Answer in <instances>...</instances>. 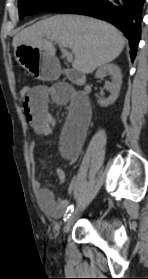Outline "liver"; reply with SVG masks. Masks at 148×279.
I'll return each mask as SVG.
<instances>
[{"label": "liver", "mask_w": 148, "mask_h": 279, "mask_svg": "<svg viewBox=\"0 0 148 279\" xmlns=\"http://www.w3.org/2000/svg\"><path fill=\"white\" fill-rule=\"evenodd\" d=\"M52 41H59L73 52L74 70L92 73L117 58L125 39L113 25L81 15H56L39 21L13 38V47L21 45L43 50L55 57Z\"/></svg>", "instance_id": "liver-1"}]
</instances>
